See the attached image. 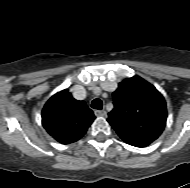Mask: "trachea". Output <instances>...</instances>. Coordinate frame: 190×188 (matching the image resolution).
I'll use <instances>...</instances> for the list:
<instances>
[{
    "label": "trachea",
    "mask_w": 190,
    "mask_h": 188,
    "mask_svg": "<svg viewBox=\"0 0 190 188\" xmlns=\"http://www.w3.org/2000/svg\"><path fill=\"white\" fill-rule=\"evenodd\" d=\"M91 107H92L93 109L101 110L102 107H103V103H102V101H101L99 98H96V99H94V100L92 101Z\"/></svg>",
    "instance_id": "trachea-1"
}]
</instances>
